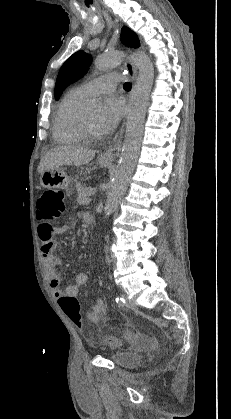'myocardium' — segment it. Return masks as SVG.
<instances>
[{
	"label": "myocardium",
	"instance_id": "1",
	"mask_svg": "<svg viewBox=\"0 0 231 419\" xmlns=\"http://www.w3.org/2000/svg\"><path fill=\"white\" fill-rule=\"evenodd\" d=\"M78 128L84 139L89 141H98L102 138V135L94 133L88 123L87 113L84 110L78 119Z\"/></svg>",
	"mask_w": 231,
	"mask_h": 419
}]
</instances>
